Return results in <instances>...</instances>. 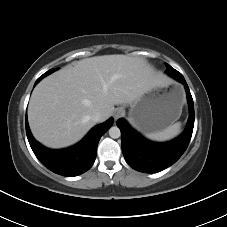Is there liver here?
<instances>
[{
	"mask_svg": "<svg viewBox=\"0 0 227 227\" xmlns=\"http://www.w3.org/2000/svg\"><path fill=\"white\" fill-rule=\"evenodd\" d=\"M165 79L142 58L104 55L82 59L44 78L28 106L33 136L50 148L81 140L95 125L100 111L107 120L114 105L132 104Z\"/></svg>",
	"mask_w": 227,
	"mask_h": 227,
	"instance_id": "1",
	"label": "liver"
}]
</instances>
